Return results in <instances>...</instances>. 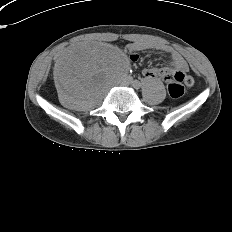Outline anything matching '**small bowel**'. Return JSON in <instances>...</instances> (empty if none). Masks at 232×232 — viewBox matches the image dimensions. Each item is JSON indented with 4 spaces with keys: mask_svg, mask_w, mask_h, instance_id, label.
Segmentation results:
<instances>
[{
    "mask_svg": "<svg viewBox=\"0 0 232 232\" xmlns=\"http://www.w3.org/2000/svg\"><path fill=\"white\" fill-rule=\"evenodd\" d=\"M145 49H157L163 50L171 55V63L174 70L164 67L160 69H145L143 71V75L147 79H152L158 77L164 81L173 79L175 74H184L187 71V65L180 53L173 49L170 46L146 41V40H135L131 44L128 45V50L131 52L130 54V61L132 63H139L140 62V55L136 52L142 51ZM176 71V73L174 72Z\"/></svg>",
    "mask_w": 232,
    "mask_h": 232,
    "instance_id": "obj_1",
    "label": "small bowel"
}]
</instances>
